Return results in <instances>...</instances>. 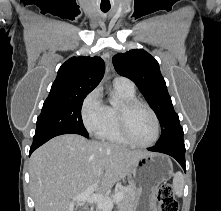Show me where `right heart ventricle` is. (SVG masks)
Segmentation results:
<instances>
[{
    "label": "right heart ventricle",
    "instance_id": "obj_1",
    "mask_svg": "<svg viewBox=\"0 0 221 211\" xmlns=\"http://www.w3.org/2000/svg\"><path fill=\"white\" fill-rule=\"evenodd\" d=\"M115 89L123 101L136 99L135 90L130 91L116 87ZM117 110L118 107L116 106H107V124L104 130L98 136L101 139L111 143L127 145L129 143L123 138L119 130Z\"/></svg>",
    "mask_w": 221,
    "mask_h": 211
}]
</instances>
